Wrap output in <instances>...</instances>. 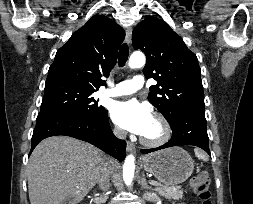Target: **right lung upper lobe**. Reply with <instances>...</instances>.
<instances>
[{
  "instance_id": "right-lung-upper-lobe-1",
  "label": "right lung upper lobe",
  "mask_w": 253,
  "mask_h": 204,
  "mask_svg": "<svg viewBox=\"0 0 253 204\" xmlns=\"http://www.w3.org/2000/svg\"><path fill=\"white\" fill-rule=\"evenodd\" d=\"M125 31L103 15L93 16L73 33L50 66L46 84L72 83L98 90L117 61Z\"/></svg>"
}]
</instances>
